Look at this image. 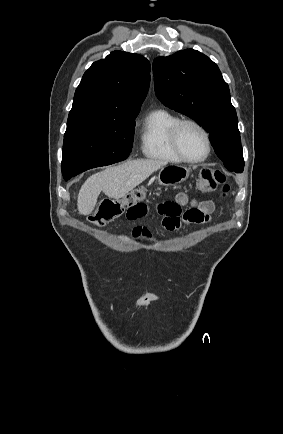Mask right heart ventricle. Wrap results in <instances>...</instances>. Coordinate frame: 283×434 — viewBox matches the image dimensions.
<instances>
[{
	"instance_id": "e07e8e85",
	"label": "right heart ventricle",
	"mask_w": 283,
	"mask_h": 434,
	"mask_svg": "<svg viewBox=\"0 0 283 434\" xmlns=\"http://www.w3.org/2000/svg\"><path fill=\"white\" fill-rule=\"evenodd\" d=\"M180 118L166 109L147 114L141 127V150L145 157L165 163H181L174 152L170 132Z\"/></svg>"
}]
</instances>
